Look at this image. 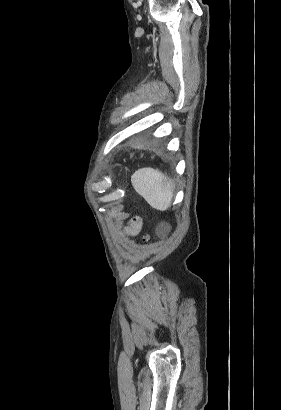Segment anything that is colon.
Segmentation results:
<instances>
[{"label":"colon","instance_id":"1","mask_svg":"<svg viewBox=\"0 0 281 410\" xmlns=\"http://www.w3.org/2000/svg\"><path fill=\"white\" fill-rule=\"evenodd\" d=\"M134 222H140V220L138 218H135Z\"/></svg>","mask_w":281,"mask_h":410}]
</instances>
